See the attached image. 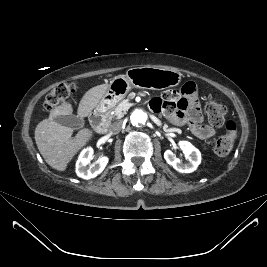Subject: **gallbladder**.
Wrapping results in <instances>:
<instances>
[{"label":"gallbladder","instance_id":"gallbladder-1","mask_svg":"<svg viewBox=\"0 0 267 267\" xmlns=\"http://www.w3.org/2000/svg\"><path fill=\"white\" fill-rule=\"evenodd\" d=\"M55 121L63 126L72 128V129H80L84 126L85 121L83 118L70 114L65 116H58L55 118Z\"/></svg>","mask_w":267,"mask_h":267}]
</instances>
